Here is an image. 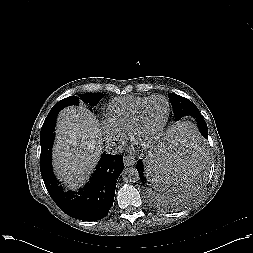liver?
I'll use <instances>...</instances> for the list:
<instances>
[{
    "label": "liver",
    "instance_id": "6515ba94",
    "mask_svg": "<svg viewBox=\"0 0 253 253\" xmlns=\"http://www.w3.org/2000/svg\"><path fill=\"white\" fill-rule=\"evenodd\" d=\"M102 152V135L94 115L84 107H67L58 116L53 167L70 189L81 187Z\"/></svg>",
    "mask_w": 253,
    "mask_h": 253
}]
</instances>
